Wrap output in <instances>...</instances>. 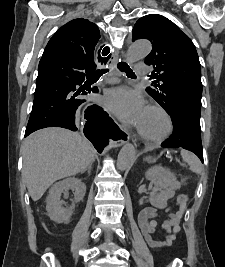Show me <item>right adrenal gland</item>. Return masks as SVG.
<instances>
[{"instance_id": "obj_1", "label": "right adrenal gland", "mask_w": 225, "mask_h": 267, "mask_svg": "<svg viewBox=\"0 0 225 267\" xmlns=\"http://www.w3.org/2000/svg\"><path fill=\"white\" fill-rule=\"evenodd\" d=\"M95 159H93L92 164L94 163ZM92 164H90L86 170H84L82 173H84L85 171H87V173L90 175L91 174V170H92Z\"/></svg>"}]
</instances>
